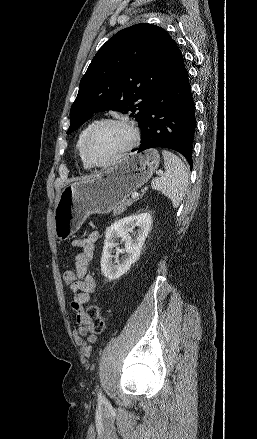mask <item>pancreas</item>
Returning a JSON list of instances; mask_svg holds the SVG:
<instances>
[{"mask_svg": "<svg viewBox=\"0 0 257 439\" xmlns=\"http://www.w3.org/2000/svg\"><path fill=\"white\" fill-rule=\"evenodd\" d=\"M131 204H133V200L132 199H126L125 201H123L119 206H117L116 208H114L113 210V215L114 216H119L120 214H122L126 208L128 206H130Z\"/></svg>", "mask_w": 257, "mask_h": 439, "instance_id": "cf45deb5", "label": "pancreas"}]
</instances>
